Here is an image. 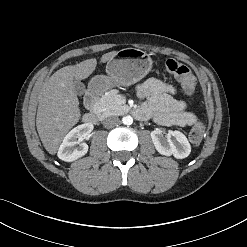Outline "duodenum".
Masks as SVG:
<instances>
[{
  "instance_id": "1",
  "label": "duodenum",
  "mask_w": 247,
  "mask_h": 247,
  "mask_svg": "<svg viewBox=\"0 0 247 247\" xmlns=\"http://www.w3.org/2000/svg\"><path fill=\"white\" fill-rule=\"evenodd\" d=\"M101 93V88L98 85L92 86L85 95V105L88 108L87 113L83 116V121L88 124H97L98 113L94 106Z\"/></svg>"
}]
</instances>
